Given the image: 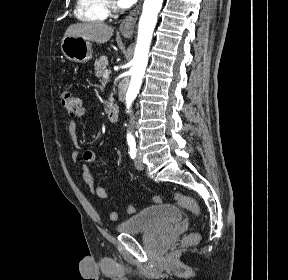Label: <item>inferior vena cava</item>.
I'll list each match as a JSON object with an SVG mask.
<instances>
[{"instance_id":"602c4592","label":"inferior vena cava","mask_w":288,"mask_h":280,"mask_svg":"<svg viewBox=\"0 0 288 280\" xmlns=\"http://www.w3.org/2000/svg\"><path fill=\"white\" fill-rule=\"evenodd\" d=\"M129 83H130V78H121V81H120V85H118V94L120 97H127L128 96V93H127V86H129ZM117 103L118 104H125L126 103V100L125 99H118L117 100ZM131 109L132 110H135L136 109V106L135 105H132L131 106ZM130 121H129V126H133L132 130H133V137H138V121H136V113H131V116H130Z\"/></svg>"}]
</instances>
